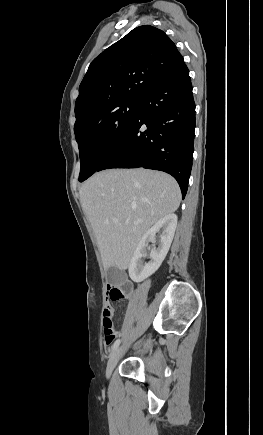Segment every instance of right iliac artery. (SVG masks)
<instances>
[{"mask_svg": "<svg viewBox=\"0 0 263 435\" xmlns=\"http://www.w3.org/2000/svg\"><path fill=\"white\" fill-rule=\"evenodd\" d=\"M120 342H121L120 339H117V340L114 342V344L112 345V348H111V351H112V352L115 351V350L118 348Z\"/></svg>", "mask_w": 263, "mask_h": 435, "instance_id": "obj_1", "label": "right iliac artery"}]
</instances>
